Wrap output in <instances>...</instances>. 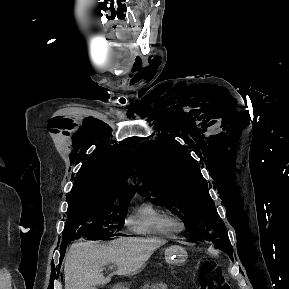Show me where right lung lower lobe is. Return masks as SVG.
<instances>
[{
	"label": "right lung lower lobe",
	"mask_w": 289,
	"mask_h": 289,
	"mask_svg": "<svg viewBox=\"0 0 289 289\" xmlns=\"http://www.w3.org/2000/svg\"><path fill=\"white\" fill-rule=\"evenodd\" d=\"M66 245H67V244H63V245H61V247H60V251H61L60 256H61V258L64 257L63 254H64V251H65V249H66Z\"/></svg>",
	"instance_id": "1"
}]
</instances>
